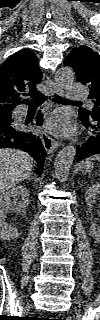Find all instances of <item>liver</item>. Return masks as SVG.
<instances>
[{
  "instance_id": "1",
  "label": "liver",
  "mask_w": 100,
  "mask_h": 320,
  "mask_svg": "<svg viewBox=\"0 0 100 320\" xmlns=\"http://www.w3.org/2000/svg\"><path fill=\"white\" fill-rule=\"evenodd\" d=\"M33 167V158L16 149L0 150V192L4 193L27 179Z\"/></svg>"
}]
</instances>
